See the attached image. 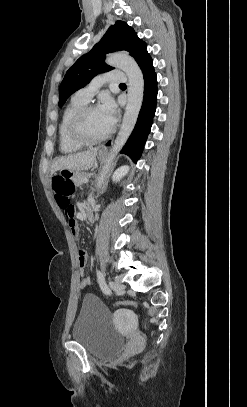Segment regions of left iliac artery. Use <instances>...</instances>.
<instances>
[{
	"label": "left iliac artery",
	"instance_id": "left-iliac-artery-1",
	"mask_svg": "<svg viewBox=\"0 0 247 407\" xmlns=\"http://www.w3.org/2000/svg\"><path fill=\"white\" fill-rule=\"evenodd\" d=\"M99 286L104 294H110L111 290L108 288L104 275L100 270H96Z\"/></svg>",
	"mask_w": 247,
	"mask_h": 407
}]
</instances>
